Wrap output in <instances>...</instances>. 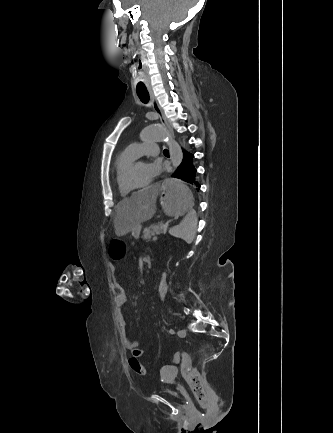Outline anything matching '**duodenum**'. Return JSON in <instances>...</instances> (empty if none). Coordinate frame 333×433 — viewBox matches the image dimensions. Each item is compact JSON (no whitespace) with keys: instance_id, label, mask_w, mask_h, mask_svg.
I'll use <instances>...</instances> for the list:
<instances>
[{"instance_id":"410a0bca","label":"duodenum","mask_w":333,"mask_h":433,"mask_svg":"<svg viewBox=\"0 0 333 433\" xmlns=\"http://www.w3.org/2000/svg\"><path fill=\"white\" fill-rule=\"evenodd\" d=\"M146 262H147V265L150 266V265H151V262H152L151 258H150V257H147V258H146Z\"/></svg>"}]
</instances>
